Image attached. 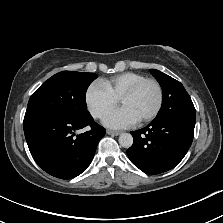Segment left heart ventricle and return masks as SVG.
<instances>
[{
  "label": "left heart ventricle",
  "mask_w": 223,
  "mask_h": 223,
  "mask_svg": "<svg viewBox=\"0 0 223 223\" xmlns=\"http://www.w3.org/2000/svg\"><path fill=\"white\" fill-rule=\"evenodd\" d=\"M156 89L152 84H145L133 96L122 99L120 104L127 108L130 113L137 119L147 116L156 104Z\"/></svg>",
  "instance_id": "1"
}]
</instances>
